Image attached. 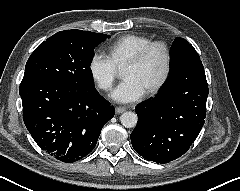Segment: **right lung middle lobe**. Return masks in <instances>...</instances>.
I'll list each match as a JSON object with an SVG mask.
<instances>
[{
  "label": "right lung middle lobe",
  "mask_w": 240,
  "mask_h": 191,
  "mask_svg": "<svg viewBox=\"0 0 240 191\" xmlns=\"http://www.w3.org/2000/svg\"><path fill=\"white\" fill-rule=\"evenodd\" d=\"M109 35L82 30L60 31L41 43L29 57L23 80L50 79L77 89L94 88V48Z\"/></svg>",
  "instance_id": "obj_1"
}]
</instances>
